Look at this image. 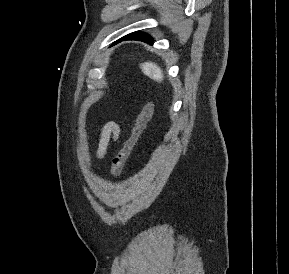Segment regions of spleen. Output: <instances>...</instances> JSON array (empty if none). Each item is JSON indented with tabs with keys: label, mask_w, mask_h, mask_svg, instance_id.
Returning <instances> with one entry per match:
<instances>
[{
	"label": "spleen",
	"mask_w": 289,
	"mask_h": 274,
	"mask_svg": "<svg viewBox=\"0 0 289 274\" xmlns=\"http://www.w3.org/2000/svg\"><path fill=\"white\" fill-rule=\"evenodd\" d=\"M143 73L154 81L161 82L163 80V73L159 66L152 62H145L140 65Z\"/></svg>",
	"instance_id": "spleen-1"
}]
</instances>
